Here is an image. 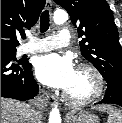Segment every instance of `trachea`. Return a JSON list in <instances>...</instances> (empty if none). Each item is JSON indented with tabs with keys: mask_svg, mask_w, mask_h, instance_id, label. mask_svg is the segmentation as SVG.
Here are the masks:
<instances>
[{
	"mask_svg": "<svg viewBox=\"0 0 122 123\" xmlns=\"http://www.w3.org/2000/svg\"><path fill=\"white\" fill-rule=\"evenodd\" d=\"M49 29V11L45 10L40 18V32L44 33ZM26 37L24 36L23 39Z\"/></svg>",
	"mask_w": 122,
	"mask_h": 123,
	"instance_id": "trachea-1",
	"label": "trachea"
}]
</instances>
